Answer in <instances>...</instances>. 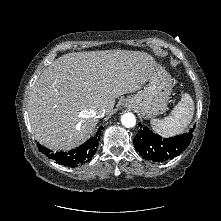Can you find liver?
<instances>
[{
  "label": "liver",
  "mask_w": 221,
  "mask_h": 221,
  "mask_svg": "<svg viewBox=\"0 0 221 221\" xmlns=\"http://www.w3.org/2000/svg\"><path fill=\"white\" fill-rule=\"evenodd\" d=\"M150 54L106 50L74 52L53 61L32 88L28 115L37 141L71 150L94 132L98 107L110 114L115 98L141 89L155 68Z\"/></svg>",
  "instance_id": "obj_1"
}]
</instances>
